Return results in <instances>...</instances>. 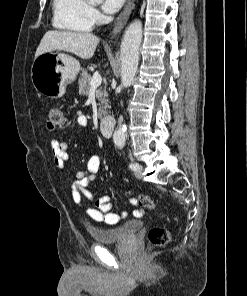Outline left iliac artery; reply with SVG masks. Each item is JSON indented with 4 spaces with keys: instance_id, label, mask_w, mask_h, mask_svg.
Returning <instances> with one entry per match:
<instances>
[{
    "instance_id": "44dca946",
    "label": "left iliac artery",
    "mask_w": 247,
    "mask_h": 296,
    "mask_svg": "<svg viewBox=\"0 0 247 296\" xmlns=\"http://www.w3.org/2000/svg\"><path fill=\"white\" fill-rule=\"evenodd\" d=\"M129 168L131 169V170H137L138 168H139V164H137V163H131L130 165H129Z\"/></svg>"
}]
</instances>
